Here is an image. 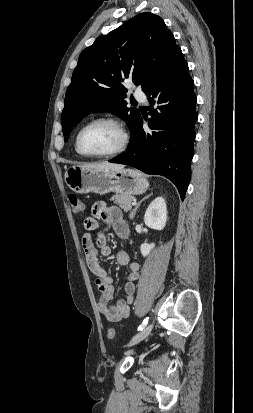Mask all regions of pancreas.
<instances>
[{
    "label": "pancreas",
    "instance_id": "1",
    "mask_svg": "<svg viewBox=\"0 0 253 413\" xmlns=\"http://www.w3.org/2000/svg\"><path fill=\"white\" fill-rule=\"evenodd\" d=\"M134 196L131 195H125V194H116L112 196L111 200L114 201L115 204H117L121 209H123L125 212H128L132 208V202L134 201Z\"/></svg>",
    "mask_w": 253,
    "mask_h": 413
}]
</instances>
